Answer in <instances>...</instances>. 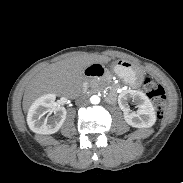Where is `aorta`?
Masks as SVG:
<instances>
[{
	"instance_id": "obj_1",
	"label": "aorta",
	"mask_w": 183,
	"mask_h": 183,
	"mask_svg": "<svg viewBox=\"0 0 183 183\" xmlns=\"http://www.w3.org/2000/svg\"><path fill=\"white\" fill-rule=\"evenodd\" d=\"M90 102H91L92 104H99V103H100V98H99V96H97V95L91 96Z\"/></svg>"
}]
</instances>
